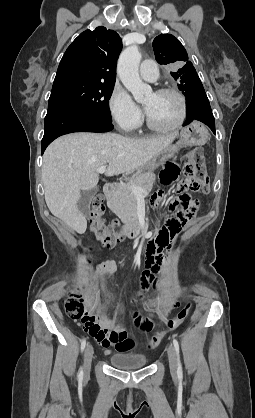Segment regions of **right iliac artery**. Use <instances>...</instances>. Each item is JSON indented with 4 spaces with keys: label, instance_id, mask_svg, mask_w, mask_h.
<instances>
[{
    "label": "right iliac artery",
    "instance_id": "1",
    "mask_svg": "<svg viewBox=\"0 0 255 418\" xmlns=\"http://www.w3.org/2000/svg\"><path fill=\"white\" fill-rule=\"evenodd\" d=\"M86 346V339H83L81 342V351L83 352V350L85 349ZM78 379L82 380L83 379V370L82 368H80L79 373H78Z\"/></svg>",
    "mask_w": 255,
    "mask_h": 418
}]
</instances>
